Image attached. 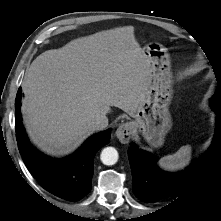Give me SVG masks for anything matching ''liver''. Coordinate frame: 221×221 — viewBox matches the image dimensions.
<instances>
[{
  "instance_id": "1",
  "label": "liver",
  "mask_w": 221,
  "mask_h": 221,
  "mask_svg": "<svg viewBox=\"0 0 221 221\" xmlns=\"http://www.w3.org/2000/svg\"><path fill=\"white\" fill-rule=\"evenodd\" d=\"M151 84L150 59L127 26L40 54L26 72L21 111L31 140L70 154L93 133L90 121L118 107L134 115Z\"/></svg>"
}]
</instances>
